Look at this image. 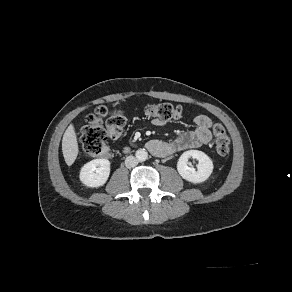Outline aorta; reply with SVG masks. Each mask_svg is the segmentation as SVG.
<instances>
[{
    "mask_svg": "<svg viewBox=\"0 0 292 292\" xmlns=\"http://www.w3.org/2000/svg\"><path fill=\"white\" fill-rule=\"evenodd\" d=\"M136 158L138 161L143 162L148 159V152L145 149H138L136 151Z\"/></svg>",
    "mask_w": 292,
    "mask_h": 292,
    "instance_id": "1",
    "label": "aorta"
}]
</instances>
